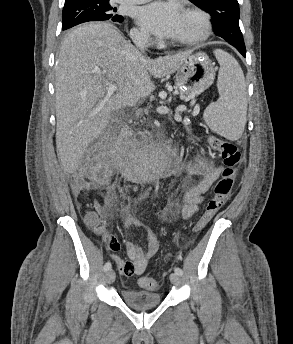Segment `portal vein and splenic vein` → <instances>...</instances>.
Masks as SVG:
<instances>
[{
    "instance_id": "1",
    "label": "portal vein and splenic vein",
    "mask_w": 293,
    "mask_h": 344,
    "mask_svg": "<svg viewBox=\"0 0 293 344\" xmlns=\"http://www.w3.org/2000/svg\"><path fill=\"white\" fill-rule=\"evenodd\" d=\"M105 85H106L107 93H108L109 95L113 94V93H114L115 91H117V89H118V88H117V85L112 84V83H110V82H105ZM199 111H200V107H199V105H196V106L194 107L193 115H197V114L199 113ZM179 120H180V118H179ZM184 122H185V123H188V122H189V119H185Z\"/></svg>"
}]
</instances>
